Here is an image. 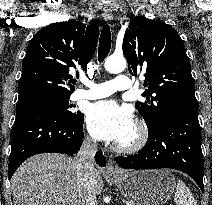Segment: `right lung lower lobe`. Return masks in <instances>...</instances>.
Listing matches in <instances>:
<instances>
[{
	"mask_svg": "<svg viewBox=\"0 0 212 205\" xmlns=\"http://www.w3.org/2000/svg\"><path fill=\"white\" fill-rule=\"evenodd\" d=\"M83 120L73 123L42 109L17 112L12 131L9 180L16 169L35 154L57 152L73 155L77 153L84 136ZM95 159L99 166L106 165V159L101 151L96 153Z\"/></svg>",
	"mask_w": 212,
	"mask_h": 205,
	"instance_id": "98d812e1",
	"label": "right lung lower lobe"
}]
</instances>
